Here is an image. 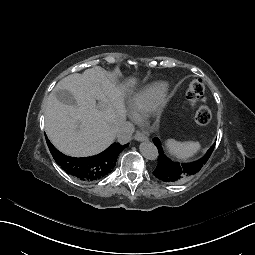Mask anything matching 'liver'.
Returning <instances> with one entry per match:
<instances>
[{"label":"liver","mask_w":255,"mask_h":255,"mask_svg":"<svg viewBox=\"0 0 255 255\" xmlns=\"http://www.w3.org/2000/svg\"><path fill=\"white\" fill-rule=\"evenodd\" d=\"M68 91L76 105L62 103L56 94ZM95 98L99 99L96 103ZM124 109L119 91L102 67L86 69L61 80L48 97L45 130L51 143L72 157H88L105 150L114 140Z\"/></svg>","instance_id":"obj_1"}]
</instances>
